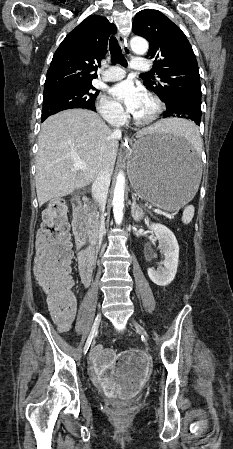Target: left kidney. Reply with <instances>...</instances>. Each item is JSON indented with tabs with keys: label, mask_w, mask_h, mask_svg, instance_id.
Here are the masks:
<instances>
[{
	"label": "left kidney",
	"mask_w": 233,
	"mask_h": 449,
	"mask_svg": "<svg viewBox=\"0 0 233 449\" xmlns=\"http://www.w3.org/2000/svg\"><path fill=\"white\" fill-rule=\"evenodd\" d=\"M149 226V222H147ZM156 238L159 240L161 252L164 255L163 265L157 270L148 268L147 273L152 282L159 286H167L175 278L178 260H179V245L173 232L162 224H150Z\"/></svg>",
	"instance_id": "obj_1"
}]
</instances>
